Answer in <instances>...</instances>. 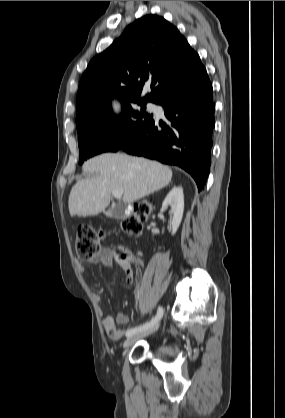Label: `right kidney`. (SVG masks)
Returning a JSON list of instances; mask_svg holds the SVG:
<instances>
[{
	"label": "right kidney",
	"mask_w": 285,
	"mask_h": 418,
	"mask_svg": "<svg viewBox=\"0 0 285 418\" xmlns=\"http://www.w3.org/2000/svg\"><path fill=\"white\" fill-rule=\"evenodd\" d=\"M171 207L170 213L173 214L171 219L172 234L174 235L179 228L184 212V194L181 186L173 187L162 203V208Z\"/></svg>",
	"instance_id": "ca27d5eb"
}]
</instances>
